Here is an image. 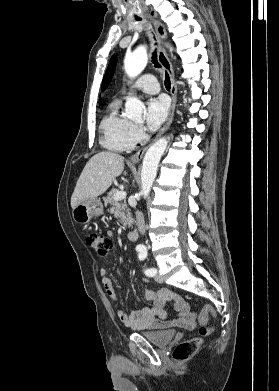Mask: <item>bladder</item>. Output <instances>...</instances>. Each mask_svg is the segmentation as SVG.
<instances>
[{"mask_svg":"<svg viewBox=\"0 0 279 391\" xmlns=\"http://www.w3.org/2000/svg\"><path fill=\"white\" fill-rule=\"evenodd\" d=\"M142 335L152 344L165 347L172 343L178 336V333L174 330H160L143 332Z\"/></svg>","mask_w":279,"mask_h":391,"instance_id":"obj_1","label":"bladder"}]
</instances>
